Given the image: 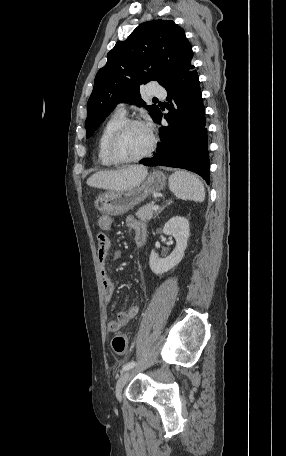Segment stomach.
<instances>
[{"label":"stomach","mask_w":286,"mask_h":456,"mask_svg":"<svg viewBox=\"0 0 286 456\" xmlns=\"http://www.w3.org/2000/svg\"><path fill=\"white\" fill-rule=\"evenodd\" d=\"M166 179L161 171H153L141 184L130 190L101 194L94 201V206L101 213L112 216L123 215L149 195L161 191L166 185Z\"/></svg>","instance_id":"1"}]
</instances>
